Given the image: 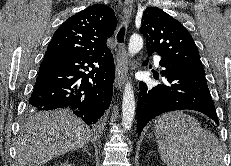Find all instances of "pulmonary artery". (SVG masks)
Instances as JSON below:
<instances>
[{
  "instance_id": "1",
  "label": "pulmonary artery",
  "mask_w": 231,
  "mask_h": 166,
  "mask_svg": "<svg viewBox=\"0 0 231 166\" xmlns=\"http://www.w3.org/2000/svg\"><path fill=\"white\" fill-rule=\"evenodd\" d=\"M155 62H156L157 64H159L160 58H159V57L155 58Z\"/></svg>"
}]
</instances>
